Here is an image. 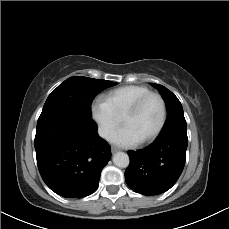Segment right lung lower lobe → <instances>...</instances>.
Returning a JSON list of instances; mask_svg holds the SVG:
<instances>
[{"instance_id":"obj_1","label":"right lung lower lobe","mask_w":229,"mask_h":229,"mask_svg":"<svg viewBox=\"0 0 229 229\" xmlns=\"http://www.w3.org/2000/svg\"><path fill=\"white\" fill-rule=\"evenodd\" d=\"M43 181L56 194L82 198L96 191L110 146L87 116L59 113L40 116L34 142Z\"/></svg>"}]
</instances>
